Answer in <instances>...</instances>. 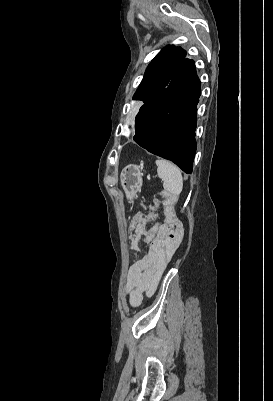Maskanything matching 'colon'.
Segmentation results:
<instances>
[{
  "label": "colon",
  "instance_id": "1",
  "mask_svg": "<svg viewBox=\"0 0 273 401\" xmlns=\"http://www.w3.org/2000/svg\"><path fill=\"white\" fill-rule=\"evenodd\" d=\"M181 226L178 219L173 216H166L162 225L156 228L158 241H182L184 235L177 232Z\"/></svg>",
  "mask_w": 273,
  "mask_h": 401
}]
</instances>
